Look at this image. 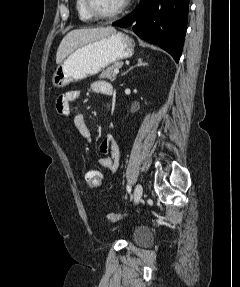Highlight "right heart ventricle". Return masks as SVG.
<instances>
[{"label":"right heart ventricle","instance_id":"e07e8e85","mask_svg":"<svg viewBox=\"0 0 240 287\" xmlns=\"http://www.w3.org/2000/svg\"><path fill=\"white\" fill-rule=\"evenodd\" d=\"M75 8L81 21L88 22L94 19L87 11L85 0H75Z\"/></svg>","mask_w":240,"mask_h":287}]
</instances>
